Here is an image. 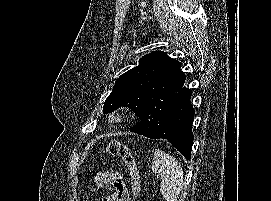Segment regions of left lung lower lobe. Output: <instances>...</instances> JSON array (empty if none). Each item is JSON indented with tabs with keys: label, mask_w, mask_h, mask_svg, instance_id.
<instances>
[{
	"label": "left lung lower lobe",
	"mask_w": 271,
	"mask_h": 201,
	"mask_svg": "<svg viewBox=\"0 0 271 201\" xmlns=\"http://www.w3.org/2000/svg\"><path fill=\"white\" fill-rule=\"evenodd\" d=\"M184 85L185 82L170 111L165 132L160 138L168 140L186 159L189 160L191 158L193 144L192 121L194 109L190 101L192 91ZM130 131L141 134L143 127L136 124Z\"/></svg>",
	"instance_id": "obj_1"
}]
</instances>
